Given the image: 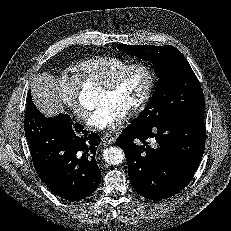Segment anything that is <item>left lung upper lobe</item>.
<instances>
[{"label":"left lung upper lobe","mask_w":231,"mask_h":231,"mask_svg":"<svg viewBox=\"0 0 231 231\" xmlns=\"http://www.w3.org/2000/svg\"><path fill=\"white\" fill-rule=\"evenodd\" d=\"M130 55L151 61L159 80L149 103L131 125H162L204 114L205 101L200 83L181 52L171 45H125Z\"/></svg>","instance_id":"5c2ea615"}]
</instances>
